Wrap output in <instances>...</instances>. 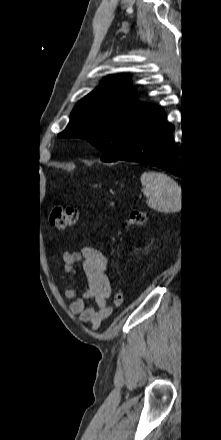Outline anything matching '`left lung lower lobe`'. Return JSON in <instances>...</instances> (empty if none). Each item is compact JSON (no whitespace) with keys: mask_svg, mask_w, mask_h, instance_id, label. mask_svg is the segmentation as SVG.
<instances>
[{"mask_svg":"<svg viewBox=\"0 0 221 440\" xmlns=\"http://www.w3.org/2000/svg\"><path fill=\"white\" fill-rule=\"evenodd\" d=\"M174 126L166 120V114L152 107L135 126L125 153L118 160L146 163L184 177V167L176 157L169 133Z\"/></svg>","mask_w":221,"mask_h":440,"instance_id":"obj_1","label":"left lung lower lobe"}]
</instances>
